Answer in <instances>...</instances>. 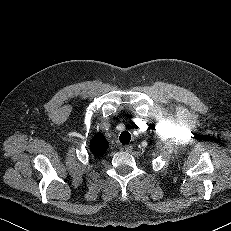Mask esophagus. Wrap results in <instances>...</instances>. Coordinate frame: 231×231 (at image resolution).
<instances>
[{
  "instance_id": "esophagus-1",
  "label": "esophagus",
  "mask_w": 231,
  "mask_h": 231,
  "mask_svg": "<svg viewBox=\"0 0 231 231\" xmlns=\"http://www.w3.org/2000/svg\"><path fill=\"white\" fill-rule=\"evenodd\" d=\"M132 145H125L124 146V150L126 151V152H131L132 151Z\"/></svg>"
}]
</instances>
